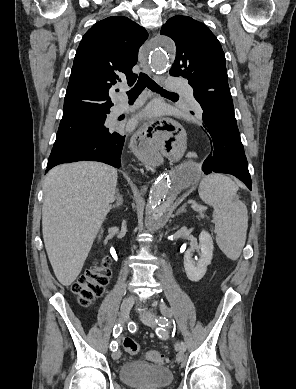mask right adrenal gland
I'll list each match as a JSON object with an SVG mask.
<instances>
[{
  "label": "right adrenal gland",
  "instance_id": "2a0ac1e0",
  "mask_svg": "<svg viewBox=\"0 0 296 389\" xmlns=\"http://www.w3.org/2000/svg\"><path fill=\"white\" fill-rule=\"evenodd\" d=\"M116 194V202L112 205V208H120L123 204V196L120 194L119 189L117 188L115 191Z\"/></svg>",
  "mask_w": 296,
  "mask_h": 389
}]
</instances>
